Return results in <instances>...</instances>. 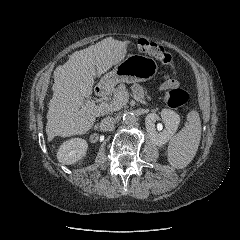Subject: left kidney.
Returning a JSON list of instances; mask_svg holds the SVG:
<instances>
[{
  "label": "left kidney",
  "mask_w": 240,
  "mask_h": 240,
  "mask_svg": "<svg viewBox=\"0 0 240 240\" xmlns=\"http://www.w3.org/2000/svg\"><path fill=\"white\" fill-rule=\"evenodd\" d=\"M159 115L156 113H150L145 118L146 131L150 140L157 146H162L167 143L174 133L176 132L179 123L180 116L173 110L163 109L161 111V119L165 124V129L161 130L156 128L155 122L159 120Z\"/></svg>",
  "instance_id": "obj_1"
}]
</instances>
